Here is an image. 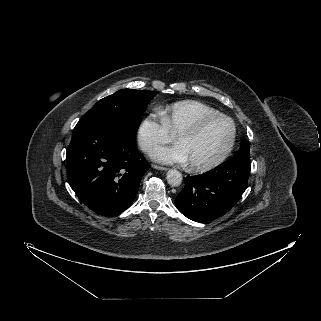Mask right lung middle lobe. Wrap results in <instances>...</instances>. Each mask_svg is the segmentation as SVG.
I'll return each instance as SVG.
<instances>
[{
  "label": "right lung middle lobe",
  "mask_w": 321,
  "mask_h": 321,
  "mask_svg": "<svg viewBox=\"0 0 321 321\" xmlns=\"http://www.w3.org/2000/svg\"><path fill=\"white\" fill-rule=\"evenodd\" d=\"M156 96L153 91L122 89L98 101L85 113L73 132L92 128L125 125L136 134L140 114L147 103Z\"/></svg>",
  "instance_id": "1"
}]
</instances>
